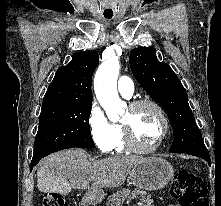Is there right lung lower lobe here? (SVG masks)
Returning <instances> with one entry per match:
<instances>
[{
	"label": "right lung lower lobe",
	"mask_w": 221,
	"mask_h": 206,
	"mask_svg": "<svg viewBox=\"0 0 221 206\" xmlns=\"http://www.w3.org/2000/svg\"><path fill=\"white\" fill-rule=\"evenodd\" d=\"M42 157L40 158H33L32 159V162L30 164V171L32 170V168L39 162V160L41 159Z\"/></svg>",
	"instance_id": "right-lung-lower-lobe-1"
}]
</instances>
